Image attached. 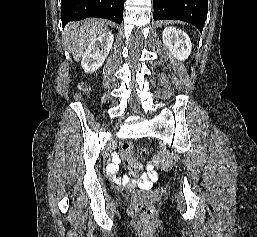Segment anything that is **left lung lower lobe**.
Returning a JSON list of instances; mask_svg holds the SVG:
<instances>
[{
  "label": "left lung lower lobe",
  "instance_id": "0a47b994",
  "mask_svg": "<svg viewBox=\"0 0 257 237\" xmlns=\"http://www.w3.org/2000/svg\"><path fill=\"white\" fill-rule=\"evenodd\" d=\"M154 20H182L202 32L208 12V0H153Z\"/></svg>",
  "mask_w": 257,
  "mask_h": 237
}]
</instances>
